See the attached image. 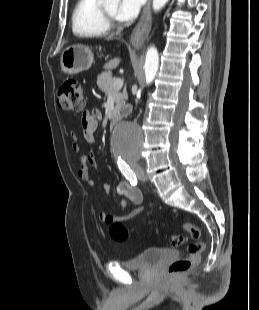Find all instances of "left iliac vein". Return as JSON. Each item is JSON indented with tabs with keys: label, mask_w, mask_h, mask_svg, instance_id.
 Returning a JSON list of instances; mask_svg holds the SVG:
<instances>
[{
	"label": "left iliac vein",
	"mask_w": 259,
	"mask_h": 310,
	"mask_svg": "<svg viewBox=\"0 0 259 310\" xmlns=\"http://www.w3.org/2000/svg\"><path fill=\"white\" fill-rule=\"evenodd\" d=\"M133 170L140 180L145 181V179H146L145 173H144V170L141 166H135V167H133Z\"/></svg>",
	"instance_id": "obj_1"
}]
</instances>
